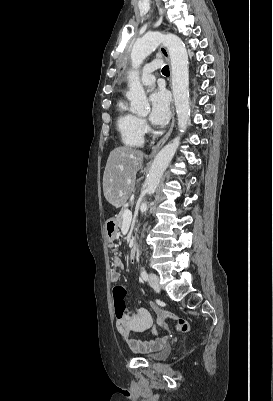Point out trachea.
I'll return each instance as SVG.
<instances>
[{"mask_svg":"<svg viewBox=\"0 0 273 401\" xmlns=\"http://www.w3.org/2000/svg\"><path fill=\"white\" fill-rule=\"evenodd\" d=\"M162 73L165 74V75H169V67H168V65H166V66H164L162 68Z\"/></svg>","mask_w":273,"mask_h":401,"instance_id":"3493384b","label":"trachea"}]
</instances>
